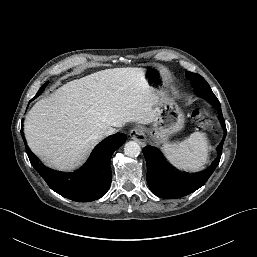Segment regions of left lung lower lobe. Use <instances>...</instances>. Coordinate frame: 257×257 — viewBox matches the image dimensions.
Returning a JSON list of instances; mask_svg holds the SVG:
<instances>
[{
	"instance_id": "0a47b994",
	"label": "left lung lower lobe",
	"mask_w": 257,
	"mask_h": 257,
	"mask_svg": "<svg viewBox=\"0 0 257 257\" xmlns=\"http://www.w3.org/2000/svg\"><path fill=\"white\" fill-rule=\"evenodd\" d=\"M216 107L218 108L225 133L222 142L217 147V157L207 170L197 173L181 172L173 168L157 148L149 145L143 148V154L147 162V182L150 190L156 196L165 199L186 196L203 186L212 175L219 164L226 137V126L221 106Z\"/></svg>"
}]
</instances>
